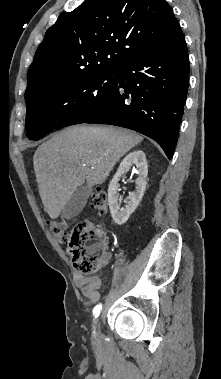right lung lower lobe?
<instances>
[{
    "label": "right lung lower lobe",
    "mask_w": 221,
    "mask_h": 379,
    "mask_svg": "<svg viewBox=\"0 0 221 379\" xmlns=\"http://www.w3.org/2000/svg\"><path fill=\"white\" fill-rule=\"evenodd\" d=\"M189 82L182 30L124 62L106 103L79 123L110 124L140 132L159 143L169 159L177 143Z\"/></svg>",
    "instance_id": "98d812e1"
}]
</instances>
